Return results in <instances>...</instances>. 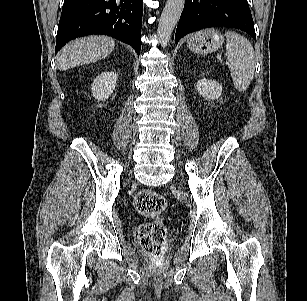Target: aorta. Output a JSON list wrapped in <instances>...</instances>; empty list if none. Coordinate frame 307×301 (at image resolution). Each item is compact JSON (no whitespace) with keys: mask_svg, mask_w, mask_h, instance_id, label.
Here are the masks:
<instances>
[{"mask_svg":"<svg viewBox=\"0 0 307 301\" xmlns=\"http://www.w3.org/2000/svg\"><path fill=\"white\" fill-rule=\"evenodd\" d=\"M185 0H167L159 19L157 35L162 47L169 43L171 34L179 21Z\"/></svg>","mask_w":307,"mask_h":301,"instance_id":"762f6f07","label":"aorta"}]
</instances>
